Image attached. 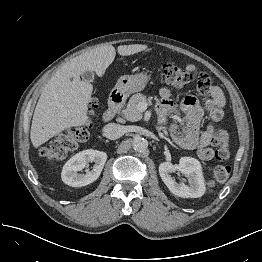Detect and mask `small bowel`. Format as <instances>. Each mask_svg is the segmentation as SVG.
Wrapping results in <instances>:
<instances>
[{"label":"small bowel","mask_w":262,"mask_h":262,"mask_svg":"<svg viewBox=\"0 0 262 262\" xmlns=\"http://www.w3.org/2000/svg\"><path fill=\"white\" fill-rule=\"evenodd\" d=\"M187 72L197 73L199 78V93L202 100L199 101L196 97L187 96L180 107L176 109V104L172 98V93L168 88L160 90L161 99L158 103L160 113L159 123L164 124L169 111L174 114L182 112L184 114L185 131L181 130L178 123H172L168 129L173 140L185 149H198L200 159L208 161L214 157V151L210 147L214 135L213 128L200 131V122L204 112L209 114V117L214 122L224 121V107L226 105L225 96L222 90L212 83L211 77L200 70L194 64L186 66ZM218 128V127H217ZM224 133L227 139L225 129L218 128Z\"/></svg>","instance_id":"small-bowel-1"}]
</instances>
